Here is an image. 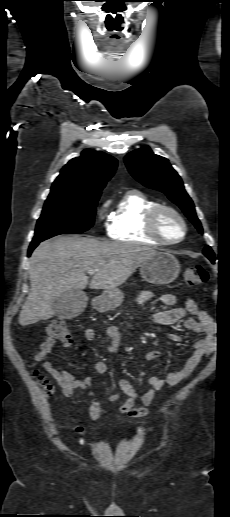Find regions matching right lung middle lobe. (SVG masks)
I'll return each mask as SVG.
<instances>
[{"instance_id": "1", "label": "right lung middle lobe", "mask_w": 230, "mask_h": 517, "mask_svg": "<svg viewBox=\"0 0 230 517\" xmlns=\"http://www.w3.org/2000/svg\"><path fill=\"white\" fill-rule=\"evenodd\" d=\"M93 196L47 198L31 243L42 242L60 234H79L94 224L97 201Z\"/></svg>"}]
</instances>
